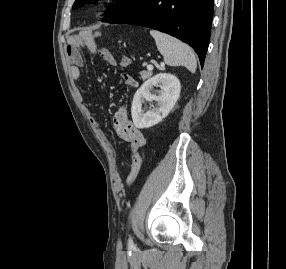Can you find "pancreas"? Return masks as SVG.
Here are the masks:
<instances>
[{"instance_id": "pancreas-1", "label": "pancreas", "mask_w": 286, "mask_h": 269, "mask_svg": "<svg viewBox=\"0 0 286 269\" xmlns=\"http://www.w3.org/2000/svg\"><path fill=\"white\" fill-rule=\"evenodd\" d=\"M140 75H141V78L143 80H145V79H148L152 76V71H149V70L148 71H142V72H140Z\"/></svg>"}]
</instances>
